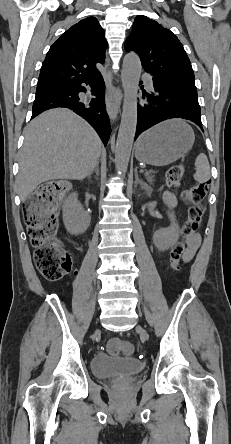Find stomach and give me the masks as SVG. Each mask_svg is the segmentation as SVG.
<instances>
[{"instance_id": "obj_1", "label": "stomach", "mask_w": 231, "mask_h": 444, "mask_svg": "<svg viewBox=\"0 0 231 444\" xmlns=\"http://www.w3.org/2000/svg\"><path fill=\"white\" fill-rule=\"evenodd\" d=\"M195 140L192 128L181 119L162 122L138 139L135 156L140 162L166 166L184 156Z\"/></svg>"}]
</instances>
